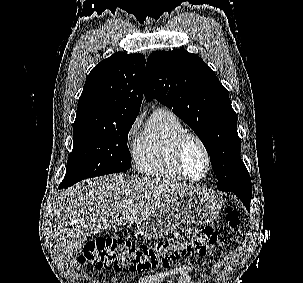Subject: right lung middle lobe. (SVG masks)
Returning <instances> with one entry per match:
<instances>
[{
	"instance_id": "right-lung-middle-lobe-1",
	"label": "right lung middle lobe",
	"mask_w": 303,
	"mask_h": 283,
	"mask_svg": "<svg viewBox=\"0 0 303 283\" xmlns=\"http://www.w3.org/2000/svg\"><path fill=\"white\" fill-rule=\"evenodd\" d=\"M134 121L108 125L74 123V145L62 183L71 186L83 179L129 169L127 139Z\"/></svg>"
}]
</instances>
